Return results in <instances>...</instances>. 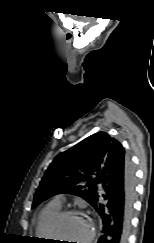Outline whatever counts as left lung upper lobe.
<instances>
[{"label": "left lung upper lobe", "instance_id": "left-lung-upper-lobe-1", "mask_svg": "<svg viewBox=\"0 0 154 243\" xmlns=\"http://www.w3.org/2000/svg\"><path fill=\"white\" fill-rule=\"evenodd\" d=\"M121 144L104 132L93 134L57 155L37 188L32 207L59 193L77 195L93 204L100 189L97 180L108 154Z\"/></svg>", "mask_w": 154, "mask_h": 243}]
</instances>
